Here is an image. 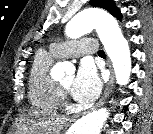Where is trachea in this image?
Returning a JSON list of instances; mask_svg holds the SVG:
<instances>
[{
	"label": "trachea",
	"instance_id": "obj_1",
	"mask_svg": "<svg viewBox=\"0 0 153 134\" xmlns=\"http://www.w3.org/2000/svg\"><path fill=\"white\" fill-rule=\"evenodd\" d=\"M98 55H99V56H105V52H104L103 50H99V51H98Z\"/></svg>",
	"mask_w": 153,
	"mask_h": 134
}]
</instances>
